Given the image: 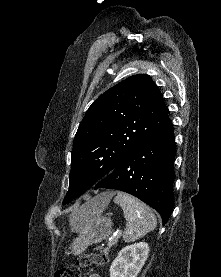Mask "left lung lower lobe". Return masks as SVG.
<instances>
[{
    "label": "left lung lower lobe",
    "instance_id": "1",
    "mask_svg": "<svg viewBox=\"0 0 221 277\" xmlns=\"http://www.w3.org/2000/svg\"><path fill=\"white\" fill-rule=\"evenodd\" d=\"M175 154L174 133L168 117L93 188L117 189L139 198L160 213L164 225L174 206Z\"/></svg>",
    "mask_w": 221,
    "mask_h": 277
}]
</instances>
